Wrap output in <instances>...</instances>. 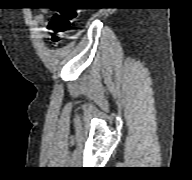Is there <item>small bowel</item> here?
<instances>
[{"instance_id": "small-bowel-1", "label": "small bowel", "mask_w": 192, "mask_h": 180, "mask_svg": "<svg viewBox=\"0 0 192 180\" xmlns=\"http://www.w3.org/2000/svg\"><path fill=\"white\" fill-rule=\"evenodd\" d=\"M36 22H37V24L43 23L44 22V16L43 15H38L36 17Z\"/></svg>"}]
</instances>
